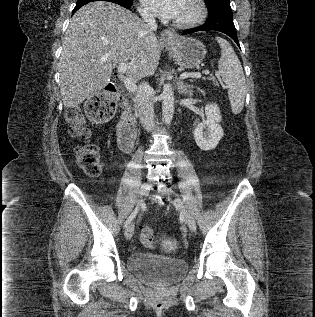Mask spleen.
<instances>
[{
  "mask_svg": "<svg viewBox=\"0 0 315 317\" xmlns=\"http://www.w3.org/2000/svg\"><path fill=\"white\" fill-rule=\"evenodd\" d=\"M221 48L218 70L221 78L228 87V96L234 114H239L244 106L246 82L241 63L228 41L216 37Z\"/></svg>",
  "mask_w": 315,
  "mask_h": 317,
  "instance_id": "spleen-1",
  "label": "spleen"
}]
</instances>
